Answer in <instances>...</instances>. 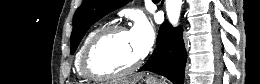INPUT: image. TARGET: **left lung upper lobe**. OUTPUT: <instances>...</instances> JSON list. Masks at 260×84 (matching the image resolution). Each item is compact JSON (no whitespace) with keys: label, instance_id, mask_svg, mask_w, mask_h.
Segmentation results:
<instances>
[{"label":"left lung upper lobe","instance_id":"1","mask_svg":"<svg viewBox=\"0 0 260 84\" xmlns=\"http://www.w3.org/2000/svg\"><path fill=\"white\" fill-rule=\"evenodd\" d=\"M130 0H83L73 18L71 54L77 49L81 39L92 24L109 12L125 5Z\"/></svg>","mask_w":260,"mask_h":84}]
</instances>
